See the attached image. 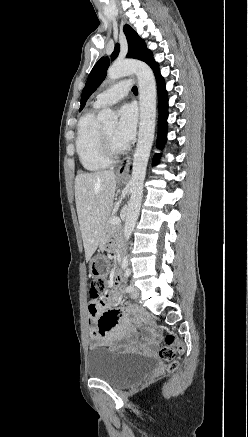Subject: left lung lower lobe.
Returning a JSON list of instances; mask_svg holds the SVG:
<instances>
[{"label": "left lung lower lobe", "instance_id": "0a47b994", "mask_svg": "<svg viewBox=\"0 0 248 437\" xmlns=\"http://www.w3.org/2000/svg\"><path fill=\"white\" fill-rule=\"evenodd\" d=\"M157 84H158V97H159V132L157 139V146L162 148L166 141V128H167V108H168V99L167 93L165 90V83L160 75L159 69L155 72ZM159 155L155 157L154 162L157 163Z\"/></svg>", "mask_w": 248, "mask_h": 437}]
</instances>
